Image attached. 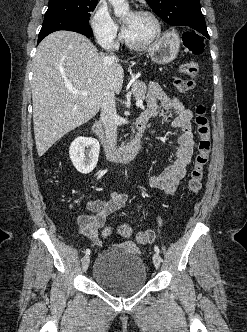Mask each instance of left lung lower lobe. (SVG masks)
I'll list each match as a JSON object with an SVG mask.
<instances>
[{"label":"left lung lower lobe","instance_id":"1","mask_svg":"<svg viewBox=\"0 0 247 332\" xmlns=\"http://www.w3.org/2000/svg\"><path fill=\"white\" fill-rule=\"evenodd\" d=\"M197 31L200 32L201 34H203L205 37L209 38V34L207 32L206 25H202V26L198 27Z\"/></svg>","mask_w":247,"mask_h":332}]
</instances>
